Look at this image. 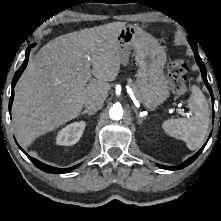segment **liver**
Segmentation results:
<instances>
[{
  "label": "liver",
  "instance_id": "obj_1",
  "mask_svg": "<svg viewBox=\"0 0 221 221\" xmlns=\"http://www.w3.org/2000/svg\"><path fill=\"white\" fill-rule=\"evenodd\" d=\"M124 26L114 22L59 36L30 59L12 107L23 146L76 118L89 98H107L109 82L120 71L118 36ZM88 72L95 78L89 81Z\"/></svg>",
  "mask_w": 221,
  "mask_h": 221
}]
</instances>
